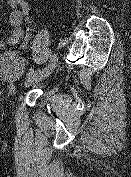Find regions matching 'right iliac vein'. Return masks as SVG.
Instances as JSON below:
<instances>
[{
	"label": "right iliac vein",
	"mask_w": 131,
	"mask_h": 177,
	"mask_svg": "<svg viewBox=\"0 0 131 177\" xmlns=\"http://www.w3.org/2000/svg\"><path fill=\"white\" fill-rule=\"evenodd\" d=\"M56 62H57V57L55 55L54 60L50 61V63L52 64V67L49 70H46L45 73H40L39 71H36L30 74L25 81L24 87H29L33 83L40 82L44 80L45 78H47L54 71Z\"/></svg>",
	"instance_id": "obj_1"
}]
</instances>
